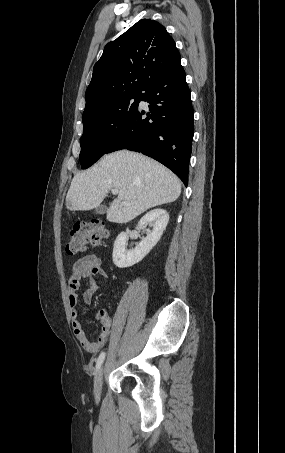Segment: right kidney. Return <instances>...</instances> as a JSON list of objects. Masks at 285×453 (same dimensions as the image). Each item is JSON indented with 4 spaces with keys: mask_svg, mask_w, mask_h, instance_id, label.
Masks as SVG:
<instances>
[{
    "mask_svg": "<svg viewBox=\"0 0 285 453\" xmlns=\"http://www.w3.org/2000/svg\"><path fill=\"white\" fill-rule=\"evenodd\" d=\"M169 222V214L164 209H154L146 213L138 222V228L152 227L147 236L132 250H127L128 234L121 232L113 246V263L119 268H127L140 262L158 243Z\"/></svg>",
    "mask_w": 285,
    "mask_h": 453,
    "instance_id": "obj_1",
    "label": "right kidney"
}]
</instances>
